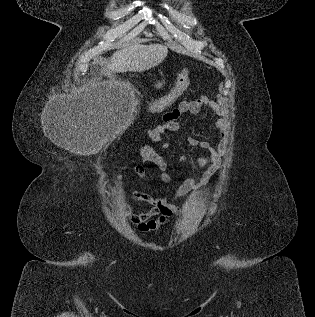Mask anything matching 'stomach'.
I'll return each mask as SVG.
<instances>
[{
  "label": "stomach",
  "instance_id": "obj_1",
  "mask_svg": "<svg viewBox=\"0 0 315 317\" xmlns=\"http://www.w3.org/2000/svg\"><path fill=\"white\" fill-rule=\"evenodd\" d=\"M165 86V81L164 80H159V81H156L155 83V88L157 89H162L163 87Z\"/></svg>",
  "mask_w": 315,
  "mask_h": 317
}]
</instances>
